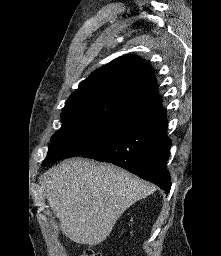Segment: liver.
I'll use <instances>...</instances> for the list:
<instances>
[{
	"mask_svg": "<svg viewBox=\"0 0 221 256\" xmlns=\"http://www.w3.org/2000/svg\"><path fill=\"white\" fill-rule=\"evenodd\" d=\"M46 196L60 229L76 243L105 241L116 221L155 187L111 164L76 158L45 173Z\"/></svg>",
	"mask_w": 221,
	"mask_h": 256,
	"instance_id": "obj_1",
	"label": "liver"
}]
</instances>
